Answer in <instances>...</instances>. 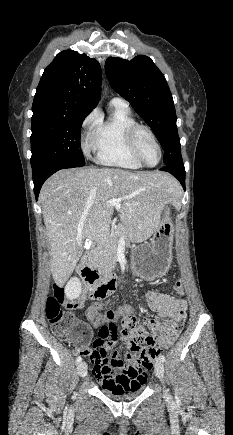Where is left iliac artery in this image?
Here are the masks:
<instances>
[{
    "instance_id": "obj_1",
    "label": "left iliac artery",
    "mask_w": 233,
    "mask_h": 435,
    "mask_svg": "<svg viewBox=\"0 0 233 435\" xmlns=\"http://www.w3.org/2000/svg\"><path fill=\"white\" fill-rule=\"evenodd\" d=\"M159 360L162 361V362H164V361H165V357H164L163 355H160V356H159Z\"/></svg>"
}]
</instances>
